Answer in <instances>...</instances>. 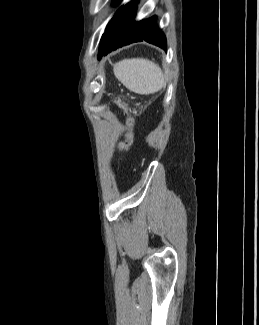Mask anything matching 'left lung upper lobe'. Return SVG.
Instances as JSON below:
<instances>
[{
	"mask_svg": "<svg viewBox=\"0 0 259 325\" xmlns=\"http://www.w3.org/2000/svg\"><path fill=\"white\" fill-rule=\"evenodd\" d=\"M121 0H114L113 1V4L116 5L118 2H120ZM101 42H102V39H101ZM100 51H101V46H100V50H99V56H100Z\"/></svg>",
	"mask_w": 259,
	"mask_h": 325,
	"instance_id": "5c2ea615",
	"label": "left lung upper lobe"
}]
</instances>
